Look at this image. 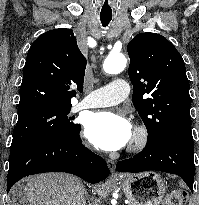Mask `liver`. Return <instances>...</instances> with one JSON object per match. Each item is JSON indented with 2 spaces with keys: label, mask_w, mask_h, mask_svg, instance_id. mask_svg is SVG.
<instances>
[{
  "label": "liver",
  "mask_w": 199,
  "mask_h": 205,
  "mask_svg": "<svg viewBox=\"0 0 199 205\" xmlns=\"http://www.w3.org/2000/svg\"><path fill=\"white\" fill-rule=\"evenodd\" d=\"M26 181L22 196L14 199L13 205H86L84 185L75 176L45 173Z\"/></svg>",
  "instance_id": "liver-1"
}]
</instances>
